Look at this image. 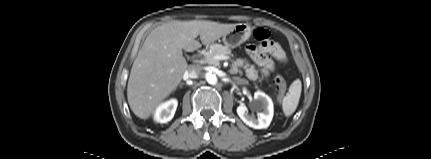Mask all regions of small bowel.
Returning a JSON list of instances; mask_svg holds the SVG:
<instances>
[{
    "instance_id": "1",
    "label": "small bowel",
    "mask_w": 431,
    "mask_h": 159,
    "mask_svg": "<svg viewBox=\"0 0 431 159\" xmlns=\"http://www.w3.org/2000/svg\"><path fill=\"white\" fill-rule=\"evenodd\" d=\"M247 52L264 75H268L274 70L275 61L283 62L285 60L283 49L278 43L273 41L267 45H249Z\"/></svg>"
}]
</instances>
